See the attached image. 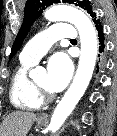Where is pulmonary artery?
<instances>
[{"label": "pulmonary artery", "instance_id": "pulmonary-artery-1", "mask_svg": "<svg viewBox=\"0 0 117 136\" xmlns=\"http://www.w3.org/2000/svg\"><path fill=\"white\" fill-rule=\"evenodd\" d=\"M77 32L72 25L58 23L41 31L22 49L21 60L35 63L46 54L51 45L59 39H75Z\"/></svg>", "mask_w": 117, "mask_h": 136}]
</instances>
